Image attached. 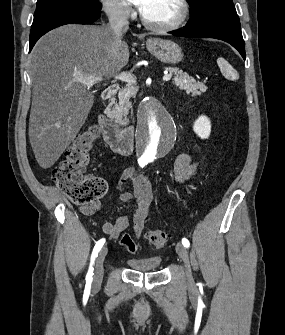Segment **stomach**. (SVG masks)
<instances>
[{"label": "stomach", "instance_id": "1", "mask_svg": "<svg viewBox=\"0 0 285 335\" xmlns=\"http://www.w3.org/2000/svg\"><path fill=\"white\" fill-rule=\"evenodd\" d=\"M146 48L152 56H155L164 64H179L183 60V52L175 42L161 40V38H150L146 42Z\"/></svg>", "mask_w": 285, "mask_h": 335}]
</instances>
